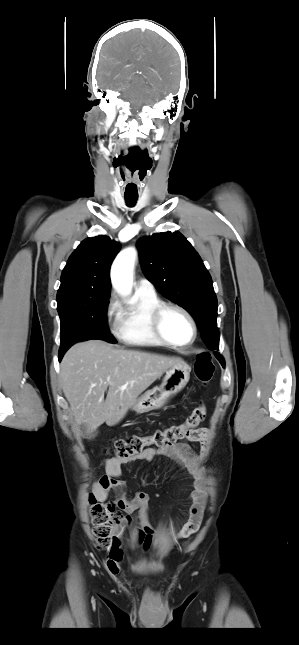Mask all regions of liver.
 Here are the masks:
<instances>
[{"instance_id": "liver-1", "label": "liver", "mask_w": 299, "mask_h": 645, "mask_svg": "<svg viewBox=\"0 0 299 645\" xmlns=\"http://www.w3.org/2000/svg\"><path fill=\"white\" fill-rule=\"evenodd\" d=\"M181 361L90 340L66 352L59 379L76 425L85 424L92 432L104 422L118 424L138 396Z\"/></svg>"}]
</instances>
